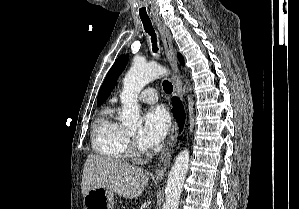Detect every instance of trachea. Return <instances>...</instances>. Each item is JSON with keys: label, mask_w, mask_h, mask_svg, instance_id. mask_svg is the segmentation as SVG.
<instances>
[{"label": "trachea", "mask_w": 299, "mask_h": 209, "mask_svg": "<svg viewBox=\"0 0 299 209\" xmlns=\"http://www.w3.org/2000/svg\"><path fill=\"white\" fill-rule=\"evenodd\" d=\"M141 21L144 25V29L145 31L151 36V40H152V50L153 52H157L158 51V47H157V40H156V35H155V31L154 28L152 26V23L150 21V19L148 17H141ZM163 89L167 94H171L173 91V86L172 84L168 81V80H164L163 81Z\"/></svg>", "instance_id": "3493384b"}]
</instances>
